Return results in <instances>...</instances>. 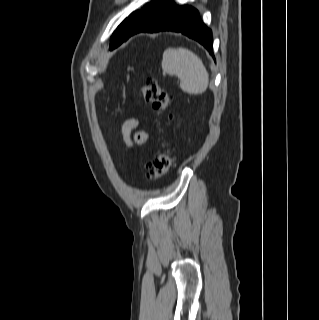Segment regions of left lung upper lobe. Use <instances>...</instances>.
Listing matches in <instances>:
<instances>
[{
    "instance_id": "5c2ea615",
    "label": "left lung upper lobe",
    "mask_w": 319,
    "mask_h": 320,
    "mask_svg": "<svg viewBox=\"0 0 319 320\" xmlns=\"http://www.w3.org/2000/svg\"><path fill=\"white\" fill-rule=\"evenodd\" d=\"M157 1H154L146 5L142 10L133 12L129 17H127L113 33L110 41V50L118 47L125 39L128 32L131 30L133 25L139 20V18L149 10Z\"/></svg>"
}]
</instances>
